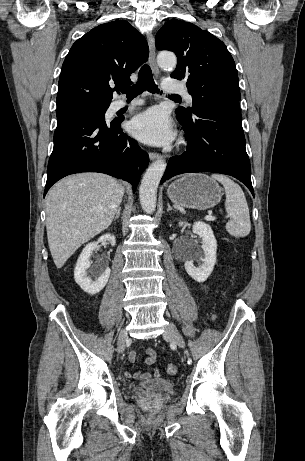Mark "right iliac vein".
Instances as JSON below:
<instances>
[{"mask_svg": "<svg viewBox=\"0 0 305 461\" xmlns=\"http://www.w3.org/2000/svg\"><path fill=\"white\" fill-rule=\"evenodd\" d=\"M128 339H129V336H128L127 330L122 329L118 336V352L120 354H123Z\"/></svg>", "mask_w": 305, "mask_h": 461, "instance_id": "obj_1", "label": "right iliac vein"}]
</instances>
